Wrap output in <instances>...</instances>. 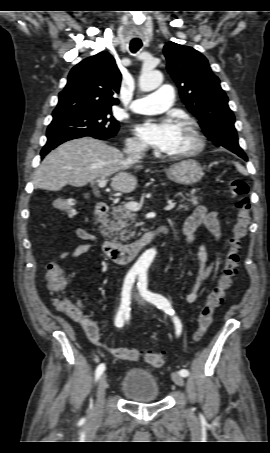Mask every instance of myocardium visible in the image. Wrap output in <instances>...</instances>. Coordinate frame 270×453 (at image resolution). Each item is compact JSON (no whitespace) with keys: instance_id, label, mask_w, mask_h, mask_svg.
I'll return each mask as SVG.
<instances>
[{"instance_id":"myocardium-1","label":"myocardium","mask_w":270,"mask_h":453,"mask_svg":"<svg viewBox=\"0 0 270 453\" xmlns=\"http://www.w3.org/2000/svg\"><path fill=\"white\" fill-rule=\"evenodd\" d=\"M178 124L187 127L194 139V145L185 151L179 153L168 154L165 153L164 156L169 159H184L196 156L199 154L205 147V138L198 126V124L191 118L183 117L178 120Z\"/></svg>"}]
</instances>
